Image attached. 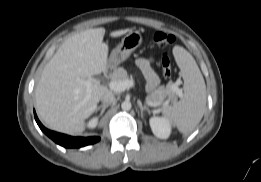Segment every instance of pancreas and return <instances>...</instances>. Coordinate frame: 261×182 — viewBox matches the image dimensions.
<instances>
[{"instance_id": "obj_1", "label": "pancreas", "mask_w": 261, "mask_h": 182, "mask_svg": "<svg viewBox=\"0 0 261 182\" xmlns=\"http://www.w3.org/2000/svg\"><path fill=\"white\" fill-rule=\"evenodd\" d=\"M112 80L120 81V80H129V75L127 71L119 67L115 69L111 75ZM175 95L169 86H161L154 93L148 95L146 100L155 104L156 106L167 104L170 100H174Z\"/></svg>"}]
</instances>
